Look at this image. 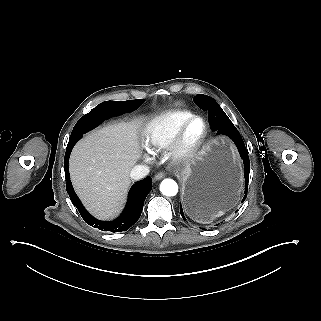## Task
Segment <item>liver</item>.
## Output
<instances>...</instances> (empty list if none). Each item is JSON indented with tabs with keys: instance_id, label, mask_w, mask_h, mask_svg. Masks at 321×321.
Listing matches in <instances>:
<instances>
[{
	"instance_id": "liver-1",
	"label": "liver",
	"mask_w": 321,
	"mask_h": 321,
	"mask_svg": "<svg viewBox=\"0 0 321 321\" xmlns=\"http://www.w3.org/2000/svg\"><path fill=\"white\" fill-rule=\"evenodd\" d=\"M144 119L134 118L92 131L72 150L71 181L77 195L98 219L108 220L123 208L130 171L141 158L139 134Z\"/></svg>"
}]
</instances>
